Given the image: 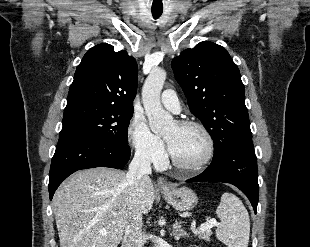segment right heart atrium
Returning <instances> with one entry per match:
<instances>
[{"mask_svg": "<svg viewBox=\"0 0 310 247\" xmlns=\"http://www.w3.org/2000/svg\"><path fill=\"white\" fill-rule=\"evenodd\" d=\"M129 142L135 154L142 160L161 165L165 160L163 143L149 128L146 120L135 116L127 130Z\"/></svg>", "mask_w": 310, "mask_h": 247, "instance_id": "right-heart-atrium-1", "label": "right heart atrium"}]
</instances>
